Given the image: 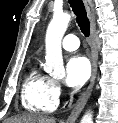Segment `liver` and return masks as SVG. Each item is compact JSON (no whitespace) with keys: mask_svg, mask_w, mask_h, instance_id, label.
<instances>
[{"mask_svg":"<svg viewBox=\"0 0 118 123\" xmlns=\"http://www.w3.org/2000/svg\"><path fill=\"white\" fill-rule=\"evenodd\" d=\"M5 123H56L54 118L44 117L35 114H24L9 118Z\"/></svg>","mask_w":118,"mask_h":123,"instance_id":"obj_1","label":"liver"}]
</instances>
